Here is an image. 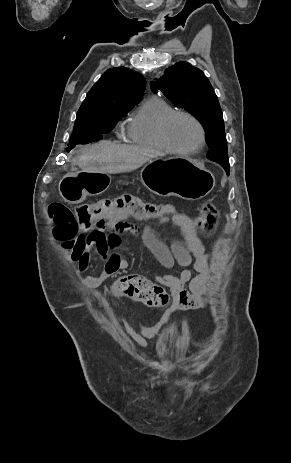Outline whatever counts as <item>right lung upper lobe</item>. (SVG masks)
<instances>
[{
    "label": "right lung upper lobe",
    "mask_w": 291,
    "mask_h": 463,
    "mask_svg": "<svg viewBox=\"0 0 291 463\" xmlns=\"http://www.w3.org/2000/svg\"><path fill=\"white\" fill-rule=\"evenodd\" d=\"M145 87L146 80L140 73L125 67L111 68L90 89L79 110L106 104L136 105Z\"/></svg>",
    "instance_id": "cb5924a9"
}]
</instances>
